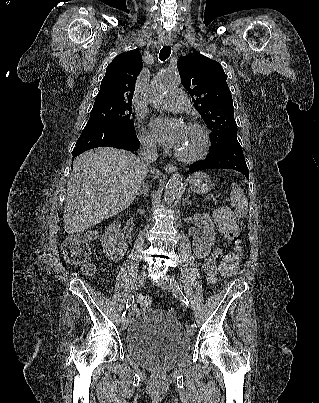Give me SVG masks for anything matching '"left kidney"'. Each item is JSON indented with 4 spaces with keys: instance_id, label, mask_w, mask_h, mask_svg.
<instances>
[{
    "instance_id": "5707ae66",
    "label": "left kidney",
    "mask_w": 319,
    "mask_h": 403,
    "mask_svg": "<svg viewBox=\"0 0 319 403\" xmlns=\"http://www.w3.org/2000/svg\"><path fill=\"white\" fill-rule=\"evenodd\" d=\"M194 223L199 227L203 225V234L201 239L196 238L193 242L194 253L198 258H205L211 252V247L215 243V226L211 216L207 213H197L193 217Z\"/></svg>"
}]
</instances>
